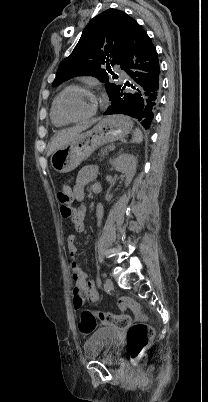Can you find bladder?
I'll return each instance as SVG.
<instances>
[{"mask_svg": "<svg viewBox=\"0 0 208 402\" xmlns=\"http://www.w3.org/2000/svg\"><path fill=\"white\" fill-rule=\"evenodd\" d=\"M121 340L118 330L110 327H102L85 342V356L99 359H115L116 352L120 349Z\"/></svg>", "mask_w": 208, "mask_h": 402, "instance_id": "bladder-1", "label": "bladder"}]
</instances>
